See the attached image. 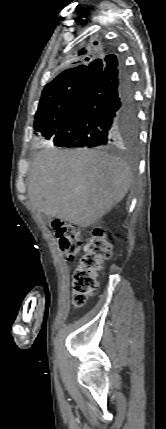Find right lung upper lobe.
<instances>
[{
    "label": "right lung upper lobe",
    "instance_id": "cb5924a9",
    "mask_svg": "<svg viewBox=\"0 0 166 429\" xmlns=\"http://www.w3.org/2000/svg\"><path fill=\"white\" fill-rule=\"evenodd\" d=\"M102 47L101 45H97L94 43V46H86L81 48L79 51H77L70 59L72 61V64H75L76 66L73 68H69L61 72L54 80H52L50 83H48L44 90H47L52 85L75 75H84L86 72V69L88 65L97 59V57L102 56Z\"/></svg>",
    "mask_w": 166,
    "mask_h": 429
}]
</instances>
